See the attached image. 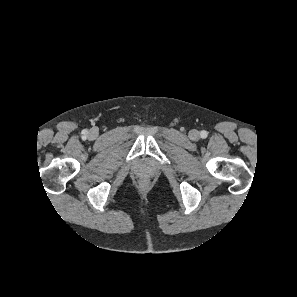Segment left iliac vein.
<instances>
[{
	"label": "left iliac vein",
	"mask_w": 297,
	"mask_h": 297,
	"mask_svg": "<svg viewBox=\"0 0 297 297\" xmlns=\"http://www.w3.org/2000/svg\"><path fill=\"white\" fill-rule=\"evenodd\" d=\"M189 137H190V139L196 141V140L199 139L200 134H199V132H198L197 130H191V131L189 132Z\"/></svg>",
	"instance_id": "4c4485c4"
}]
</instances>
